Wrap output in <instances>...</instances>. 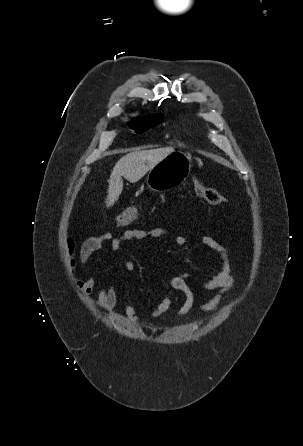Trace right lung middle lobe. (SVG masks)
I'll list each match as a JSON object with an SVG mask.
<instances>
[{
	"mask_svg": "<svg viewBox=\"0 0 303 446\" xmlns=\"http://www.w3.org/2000/svg\"><path fill=\"white\" fill-rule=\"evenodd\" d=\"M162 123V115H156L152 117L137 118L134 121L128 123V126L134 129L137 133H143L151 127Z\"/></svg>",
	"mask_w": 303,
	"mask_h": 446,
	"instance_id": "1",
	"label": "right lung middle lobe"
}]
</instances>
